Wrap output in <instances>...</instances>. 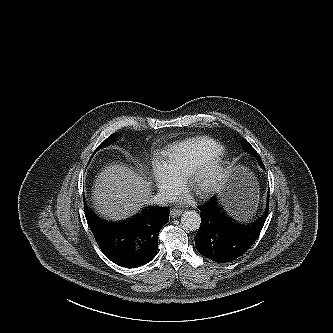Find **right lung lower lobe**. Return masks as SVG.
I'll list each match as a JSON object with an SVG mask.
<instances>
[{"mask_svg": "<svg viewBox=\"0 0 333 333\" xmlns=\"http://www.w3.org/2000/svg\"><path fill=\"white\" fill-rule=\"evenodd\" d=\"M85 217L102 252L115 264L135 268L157 254L159 231L169 221V208L152 206L119 222L101 219L88 209Z\"/></svg>", "mask_w": 333, "mask_h": 333, "instance_id": "98d812e1", "label": "right lung lower lobe"}]
</instances>
